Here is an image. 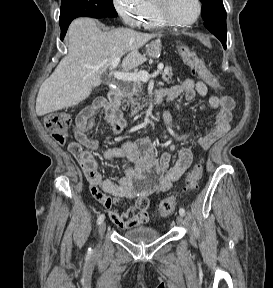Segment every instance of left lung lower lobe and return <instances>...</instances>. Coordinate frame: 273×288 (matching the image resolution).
I'll return each instance as SVG.
<instances>
[{
	"instance_id": "0a47b994",
	"label": "left lung lower lobe",
	"mask_w": 273,
	"mask_h": 288,
	"mask_svg": "<svg viewBox=\"0 0 273 288\" xmlns=\"http://www.w3.org/2000/svg\"><path fill=\"white\" fill-rule=\"evenodd\" d=\"M208 30L221 41L224 49H226V38H227L226 27L225 28H212V29H208Z\"/></svg>"
}]
</instances>
